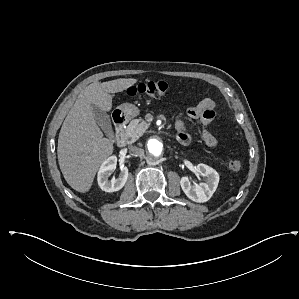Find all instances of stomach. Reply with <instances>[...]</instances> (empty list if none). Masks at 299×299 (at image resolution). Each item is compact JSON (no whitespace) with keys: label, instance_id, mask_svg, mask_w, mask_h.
Listing matches in <instances>:
<instances>
[{"label":"stomach","instance_id":"stomach-1","mask_svg":"<svg viewBox=\"0 0 299 299\" xmlns=\"http://www.w3.org/2000/svg\"><path fill=\"white\" fill-rule=\"evenodd\" d=\"M118 109L121 111V113L124 115L127 119H132L139 115V109L131 103H124L118 106Z\"/></svg>","mask_w":299,"mask_h":299}]
</instances>
